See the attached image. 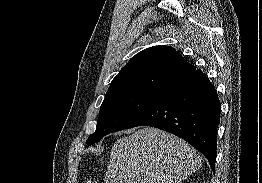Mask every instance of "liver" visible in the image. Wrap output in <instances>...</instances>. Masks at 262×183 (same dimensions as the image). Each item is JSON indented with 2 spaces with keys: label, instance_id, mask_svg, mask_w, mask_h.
Here are the masks:
<instances>
[{
  "label": "liver",
  "instance_id": "6515ba94",
  "mask_svg": "<svg viewBox=\"0 0 262 183\" xmlns=\"http://www.w3.org/2000/svg\"><path fill=\"white\" fill-rule=\"evenodd\" d=\"M118 139L105 183H181L202 166L201 154L168 132L145 127Z\"/></svg>",
  "mask_w": 262,
  "mask_h": 183
}]
</instances>
